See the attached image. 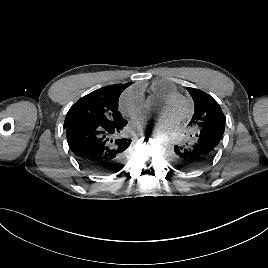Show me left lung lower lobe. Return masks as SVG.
I'll return each instance as SVG.
<instances>
[{
	"instance_id": "obj_1",
	"label": "left lung lower lobe",
	"mask_w": 268,
	"mask_h": 268,
	"mask_svg": "<svg viewBox=\"0 0 268 268\" xmlns=\"http://www.w3.org/2000/svg\"><path fill=\"white\" fill-rule=\"evenodd\" d=\"M225 123L211 124L193 132L187 143L168 152L169 161L180 170L190 171L208 164L218 152Z\"/></svg>"
}]
</instances>
